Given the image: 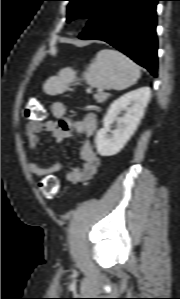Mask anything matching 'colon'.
<instances>
[{"label":"colon","mask_w":180,"mask_h":299,"mask_svg":"<svg viewBox=\"0 0 180 299\" xmlns=\"http://www.w3.org/2000/svg\"><path fill=\"white\" fill-rule=\"evenodd\" d=\"M27 117L32 120H43L46 117V110L38 100H31L27 105ZM39 188L46 198L53 199L59 194V180L54 176H47L40 181Z\"/></svg>","instance_id":"5ec220e1"}]
</instances>
